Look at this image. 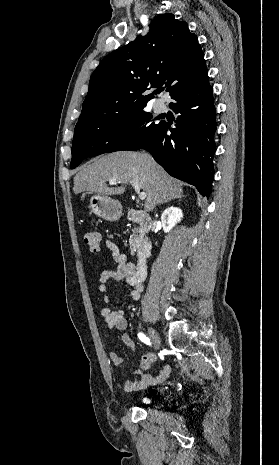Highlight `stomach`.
<instances>
[{
	"label": "stomach",
	"instance_id": "stomach-1",
	"mask_svg": "<svg viewBox=\"0 0 279 465\" xmlns=\"http://www.w3.org/2000/svg\"><path fill=\"white\" fill-rule=\"evenodd\" d=\"M90 208L96 216L107 221H116L122 215L120 202L107 196H92L90 199Z\"/></svg>",
	"mask_w": 279,
	"mask_h": 465
}]
</instances>
